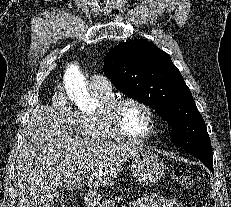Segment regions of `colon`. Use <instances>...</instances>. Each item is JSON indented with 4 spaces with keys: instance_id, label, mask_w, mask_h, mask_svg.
I'll return each mask as SVG.
<instances>
[{
    "instance_id": "5ec220e1",
    "label": "colon",
    "mask_w": 231,
    "mask_h": 207,
    "mask_svg": "<svg viewBox=\"0 0 231 207\" xmlns=\"http://www.w3.org/2000/svg\"><path fill=\"white\" fill-rule=\"evenodd\" d=\"M175 180L185 188H190L191 187V179L189 176L185 174H178L175 176Z\"/></svg>"
}]
</instances>
